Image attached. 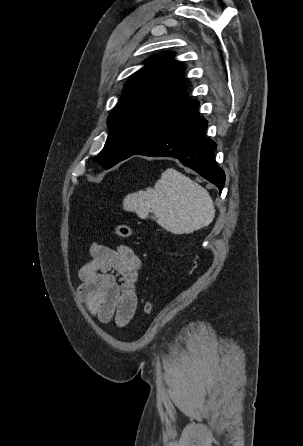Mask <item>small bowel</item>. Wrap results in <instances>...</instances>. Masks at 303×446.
<instances>
[{"label": "small bowel", "instance_id": "obj_1", "mask_svg": "<svg viewBox=\"0 0 303 446\" xmlns=\"http://www.w3.org/2000/svg\"><path fill=\"white\" fill-rule=\"evenodd\" d=\"M89 251L91 260L78 273V295L100 321L115 319L118 326H125L138 304L140 259L127 245L110 248L93 243Z\"/></svg>", "mask_w": 303, "mask_h": 446}]
</instances>
